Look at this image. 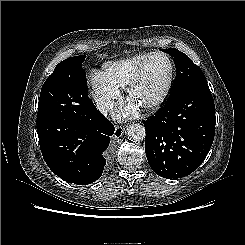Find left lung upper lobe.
I'll return each mask as SVG.
<instances>
[{"label": "left lung upper lobe", "mask_w": 245, "mask_h": 245, "mask_svg": "<svg viewBox=\"0 0 245 245\" xmlns=\"http://www.w3.org/2000/svg\"><path fill=\"white\" fill-rule=\"evenodd\" d=\"M169 53L176 66V79L167 101L179 96L182 92L201 84H207L202 70L184 53L177 49H161Z\"/></svg>", "instance_id": "obj_1"}]
</instances>
